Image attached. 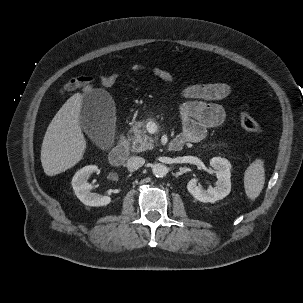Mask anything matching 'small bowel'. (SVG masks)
I'll return each mask as SVG.
<instances>
[{
	"label": "small bowel",
	"mask_w": 303,
	"mask_h": 303,
	"mask_svg": "<svg viewBox=\"0 0 303 303\" xmlns=\"http://www.w3.org/2000/svg\"><path fill=\"white\" fill-rule=\"evenodd\" d=\"M127 71L149 72L168 84L176 81L170 71L157 66L137 63L131 65ZM92 82L93 79L86 76L71 77L63 84L60 92L66 95ZM231 94V86L225 83L194 84L183 88L181 91L183 101L179 107L182 121L180 138L185 142H199L205 138L208 129L222 126L227 120V113L216 102L228 98Z\"/></svg>",
	"instance_id": "small-bowel-1"
}]
</instances>
